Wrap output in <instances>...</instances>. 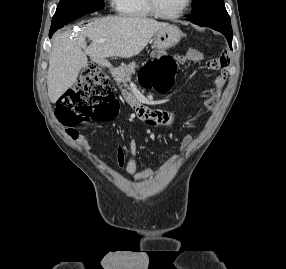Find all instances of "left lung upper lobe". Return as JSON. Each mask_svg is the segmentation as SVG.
Masks as SVG:
<instances>
[{
	"label": "left lung upper lobe",
	"instance_id": "1",
	"mask_svg": "<svg viewBox=\"0 0 286 269\" xmlns=\"http://www.w3.org/2000/svg\"><path fill=\"white\" fill-rule=\"evenodd\" d=\"M192 16L187 18L194 24L232 31L230 17L223 0H192Z\"/></svg>",
	"mask_w": 286,
	"mask_h": 269
}]
</instances>
